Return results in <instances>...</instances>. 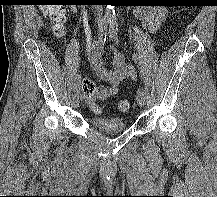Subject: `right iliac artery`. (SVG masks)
I'll list each match as a JSON object with an SVG mask.
<instances>
[{"instance_id":"1","label":"right iliac artery","mask_w":217,"mask_h":197,"mask_svg":"<svg viewBox=\"0 0 217 197\" xmlns=\"http://www.w3.org/2000/svg\"><path fill=\"white\" fill-rule=\"evenodd\" d=\"M107 36V22H104L99 28V36L98 39L100 42L104 43L106 41ZM80 93V76L77 75L75 78V82L73 85V97H78Z\"/></svg>"}]
</instances>
